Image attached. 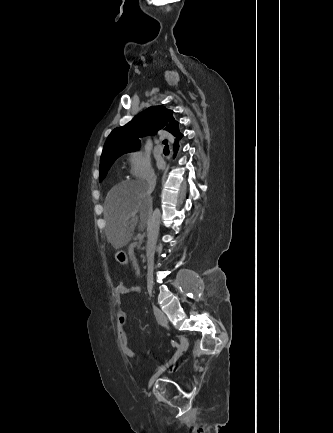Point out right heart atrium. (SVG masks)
Returning a JSON list of instances; mask_svg holds the SVG:
<instances>
[{
    "label": "right heart atrium",
    "instance_id": "d8ad5b80",
    "mask_svg": "<svg viewBox=\"0 0 333 433\" xmlns=\"http://www.w3.org/2000/svg\"><path fill=\"white\" fill-rule=\"evenodd\" d=\"M129 174L137 179H150L154 177V170L150 158L141 150L130 151L127 156Z\"/></svg>",
    "mask_w": 333,
    "mask_h": 433
}]
</instances>
